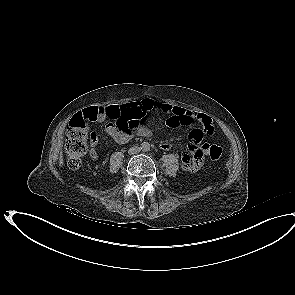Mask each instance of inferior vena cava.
Wrapping results in <instances>:
<instances>
[{
    "label": "inferior vena cava",
    "instance_id": "inferior-vena-cava-1",
    "mask_svg": "<svg viewBox=\"0 0 295 295\" xmlns=\"http://www.w3.org/2000/svg\"><path fill=\"white\" fill-rule=\"evenodd\" d=\"M141 151V148L138 147V146H134V147H131L129 150H128V153L130 155H135V154H138L139 152Z\"/></svg>",
    "mask_w": 295,
    "mask_h": 295
}]
</instances>
